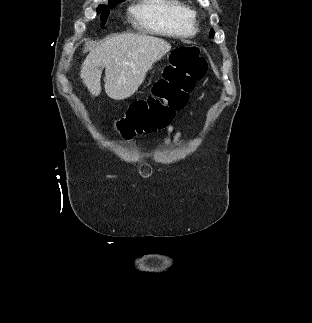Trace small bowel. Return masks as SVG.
Returning <instances> with one entry per match:
<instances>
[{
	"label": "small bowel",
	"instance_id": "small-bowel-1",
	"mask_svg": "<svg viewBox=\"0 0 312 323\" xmlns=\"http://www.w3.org/2000/svg\"><path fill=\"white\" fill-rule=\"evenodd\" d=\"M181 138H182V131L179 129H176L174 125H169L167 127V136L164 138L163 143L166 146L170 145L171 143L178 144L181 141Z\"/></svg>",
	"mask_w": 312,
	"mask_h": 323
}]
</instances>
